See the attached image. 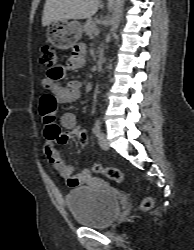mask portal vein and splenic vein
Masks as SVG:
<instances>
[{"label":"portal vein and splenic vein","instance_id":"1","mask_svg":"<svg viewBox=\"0 0 194 250\" xmlns=\"http://www.w3.org/2000/svg\"><path fill=\"white\" fill-rule=\"evenodd\" d=\"M98 33H99V30H96V31H95V34H98Z\"/></svg>","mask_w":194,"mask_h":250}]
</instances>
